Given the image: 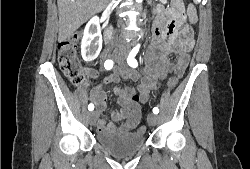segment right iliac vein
<instances>
[{"label": "right iliac vein", "instance_id": "1", "mask_svg": "<svg viewBox=\"0 0 250 169\" xmlns=\"http://www.w3.org/2000/svg\"><path fill=\"white\" fill-rule=\"evenodd\" d=\"M116 60V58H114ZM88 118H89V122L91 125H94L95 124V121L97 119V113L94 111V112H89L88 113Z\"/></svg>", "mask_w": 250, "mask_h": 169}]
</instances>
